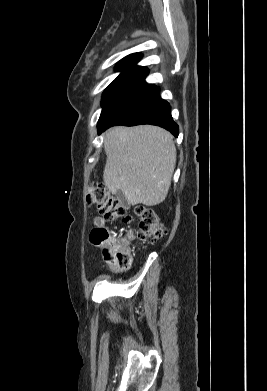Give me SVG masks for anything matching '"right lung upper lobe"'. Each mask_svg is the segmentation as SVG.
<instances>
[{
	"mask_svg": "<svg viewBox=\"0 0 267 391\" xmlns=\"http://www.w3.org/2000/svg\"><path fill=\"white\" fill-rule=\"evenodd\" d=\"M140 53H134L123 58L116 66V70L122 71L119 76H138L146 77L149 73L146 67L136 66V63L141 59Z\"/></svg>",
	"mask_w": 267,
	"mask_h": 391,
	"instance_id": "obj_1",
	"label": "right lung upper lobe"
}]
</instances>
